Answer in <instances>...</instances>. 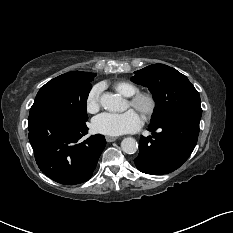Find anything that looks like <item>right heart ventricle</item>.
<instances>
[{"instance_id":"1","label":"right heart ventricle","mask_w":233,"mask_h":233,"mask_svg":"<svg viewBox=\"0 0 233 233\" xmlns=\"http://www.w3.org/2000/svg\"><path fill=\"white\" fill-rule=\"evenodd\" d=\"M116 92L124 97H130L139 91V88L128 81H118L113 85Z\"/></svg>"}]
</instances>
